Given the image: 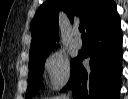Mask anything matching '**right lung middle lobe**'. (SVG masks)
<instances>
[{
	"mask_svg": "<svg viewBox=\"0 0 128 99\" xmlns=\"http://www.w3.org/2000/svg\"><path fill=\"white\" fill-rule=\"evenodd\" d=\"M49 53L50 52L43 53L29 59L28 88L26 91L27 98L34 96L40 88H43V67L45 64V59ZM74 60L75 59L71 61V66L74 63Z\"/></svg>",
	"mask_w": 128,
	"mask_h": 99,
	"instance_id": "obj_1",
	"label": "right lung middle lobe"
}]
</instances>
